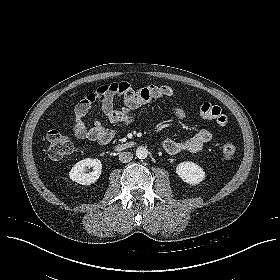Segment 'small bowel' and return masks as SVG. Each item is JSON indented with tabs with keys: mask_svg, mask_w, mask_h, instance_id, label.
Instances as JSON below:
<instances>
[{
	"mask_svg": "<svg viewBox=\"0 0 280 280\" xmlns=\"http://www.w3.org/2000/svg\"><path fill=\"white\" fill-rule=\"evenodd\" d=\"M129 91L136 92L137 96L126 99L124 95ZM172 95L173 89L168 85H151L139 90H134L127 82L101 86L96 90L87 92L83 99L75 106L74 112L76 122L74 125V133L80 138L98 140L99 142L104 143L101 137H92L91 132L109 131L110 140L113 138L114 132L105 128L99 121H95L93 125H89L84 121V118L94 105L98 104L100 106V110L107 116L111 123L129 122L132 120L129 112L130 109L138 108L151 103L155 99L170 97ZM117 97L123 99V105L119 107L115 104V99ZM175 115L179 121H182L185 117L184 111L179 108L175 110ZM211 138V132L202 129L194 137L184 141H176L167 138L162 142V147L170 154L193 152L202 149L210 142Z\"/></svg>",
	"mask_w": 280,
	"mask_h": 280,
	"instance_id": "small-bowel-1",
	"label": "small bowel"
}]
</instances>
